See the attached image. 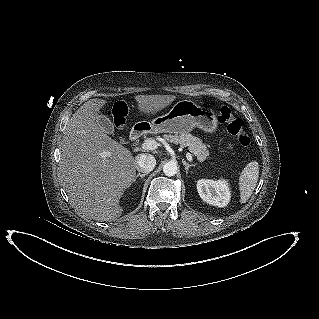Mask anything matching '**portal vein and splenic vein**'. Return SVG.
Segmentation results:
<instances>
[{
    "label": "portal vein and splenic vein",
    "mask_w": 319,
    "mask_h": 319,
    "mask_svg": "<svg viewBox=\"0 0 319 319\" xmlns=\"http://www.w3.org/2000/svg\"><path fill=\"white\" fill-rule=\"evenodd\" d=\"M158 147V143L151 139V140H146L144 141V143L142 144V148L144 150H155ZM186 158L189 162H192V155L190 153L186 154Z\"/></svg>",
    "instance_id": "18ae733b"
}]
</instances>
